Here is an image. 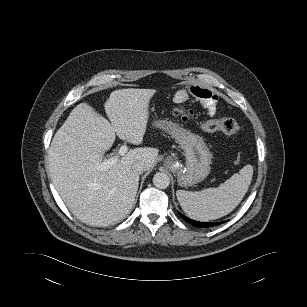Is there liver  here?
<instances>
[{"label":"liver","mask_w":307,"mask_h":307,"mask_svg":"<svg viewBox=\"0 0 307 307\" xmlns=\"http://www.w3.org/2000/svg\"><path fill=\"white\" fill-rule=\"evenodd\" d=\"M155 89H119L105 103L110 122L88 103L78 104L53 137L48 153L50 178L69 210L82 222L108 226L131 211L139 185L132 166L149 170L159 150L138 147L117 158L106 171L98 170L116 135L140 145L149 119Z\"/></svg>","instance_id":"1"}]
</instances>
